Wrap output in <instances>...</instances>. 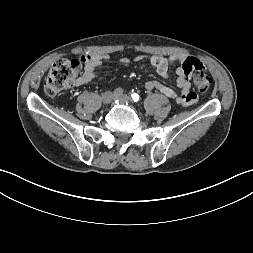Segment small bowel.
<instances>
[{"mask_svg":"<svg viewBox=\"0 0 253 253\" xmlns=\"http://www.w3.org/2000/svg\"><path fill=\"white\" fill-rule=\"evenodd\" d=\"M145 58L146 57L143 55H138L135 57L134 60L136 62H139L144 60ZM108 59L109 56L107 54L94 53L88 55L85 63L84 73L75 81V85L82 86L88 84L91 80L96 78L98 76L96 69ZM148 59L149 68H146V70H153L162 77H167L170 68L173 66H177V87L180 89L181 92L180 94H177L174 89L157 80L147 81L145 83L146 90H158L166 97L176 99L177 102L185 106H189L192 109H197L199 107L198 96L194 91H191L190 77L193 71L187 65V60L189 58L181 54H175L169 58L153 55L150 56ZM120 62L123 64H128L130 60L128 58H121Z\"/></svg>","mask_w":253,"mask_h":253,"instance_id":"1","label":"small bowel"}]
</instances>
